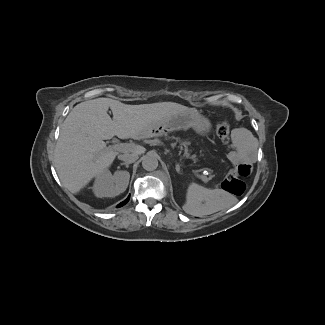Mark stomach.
<instances>
[{
	"label": "stomach",
	"instance_id": "1",
	"mask_svg": "<svg viewBox=\"0 0 325 325\" xmlns=\"http://www.w3.org/2000/svg\"><path fill=\"white\" fill-rule=\"evenodd\" d=\"M194 128L198 133H205L210 129V123L207 119L199 116L198 112H185L165 117L162 121L151 126L145 135L148 137L155 135L168 134L178 129Z\"/></svg>",
	"mask_w": 325,
	"mask_h": 325
}]
</instances>
